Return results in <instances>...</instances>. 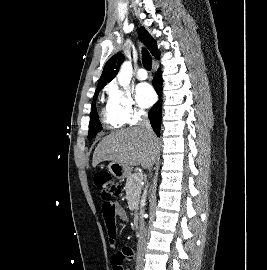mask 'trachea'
Returning <instances> with one entry per match:
<instances>
[{
	"instance_id": "obj_1",
	"label": "trachea",
	"mask_w": 267,
	"mask_h": 270,
	"mask_svg": "<svg viewBox=\"0 0 267 270\" xmlns=\"http://www.w3.org/2000/svg\"><path fill=\"white\" fill-rule=\"evenodd\" d=\"M142 63L146 70L150 71L152 68V58L149 52L145 49L142 50Z\"/></svg>"
}]
</instances>
